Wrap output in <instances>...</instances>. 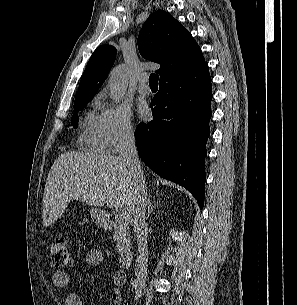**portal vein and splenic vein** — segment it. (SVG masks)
<instances>
[{
  "label": "portal vein and splenic vein",
  "instance_id": "1",
  "mask_svg": "<svg viewBox=\"0 0 297 305\" xmlns=\"http://www.w3.org/2000/svg\"><path fill=\"white\" fill-rule=\"evenodd\" d=\"M118 218L122 221L124 220H127L128 219V214L126 211H121L119 214H118Z\"/></svg>",
  "mask_w": 297,
  "mask_h": 305
}]
</instances>
